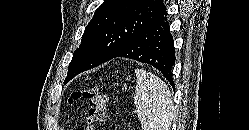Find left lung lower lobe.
<instances>
[{
	"instance_id": "0a47b994",
	"label": "left lung lower lobe",
	"mask_w": 249,
	"mask_h": 130,
	"mask_svg": "<svg viewBox=\"0 0 249 130\" xmlns=\"http://www.w3.org/2000/svg\"><path fill=\"white\" fill-rule=\"evenodd\" d=\"M116 57L134 59L154 66L175 89L172 78V67L175 64L174 42L165 15L137 33L113 58Z\"/></svg>"
}]
</instances>
